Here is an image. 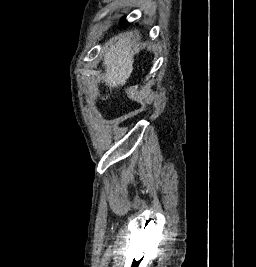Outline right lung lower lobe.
Here are the masks:
<instances>
[{"label":"right lung lower lobe","instance_id":"98d812e1","mask_svg":"<svg viewBox=\"0 0 256 267\" xmlns=\"http://www.w3.org/2000/svg\"><path fill=\"white\" fill-rule=\"evenodd\" d=\"M126 22L125 21H123V22H121V26H126Z\"/></svg>","mask_w":256,"mask_h":267}]
</instances>
